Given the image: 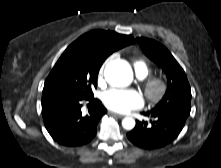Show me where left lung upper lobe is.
<instances>
[{"label":"left lung upper lobe","instance_id":"1","mask_svg":"<svg viewBox=\"0 0 221 168\" xmlns=\"http://www.w3.org/2000/svg\"><path fill=\"white\" fill-rule=\"evenodd\" d=\"M137 42L147 57L161 66L167 76L166 93L149 112L177 110L190 113L191 90L184 70L160 43L146 38H137Z\"/></svg>","mask_w":221,"mask_h":168}]
</instances>
